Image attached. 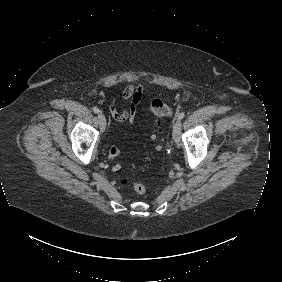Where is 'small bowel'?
<instances>
[{
    "label": "small bowel",
    "mask_w": 282,
    "mask_h": 282,
    "mask_svg": "<svg viewBox=\"0 0 282 282\" xmlns=\"http://www.w3.org/2000/svg\"><path fill=\"white\" fill-rule=\"evenodd\" d=\"M143 84L127 85L121 94L124 106L119 110L114 104L109 105V112L116 123L134 124L138 106L142 100Z\"/></svg>",
    "instance_id": "c3829d8e"
}]
</instances>
